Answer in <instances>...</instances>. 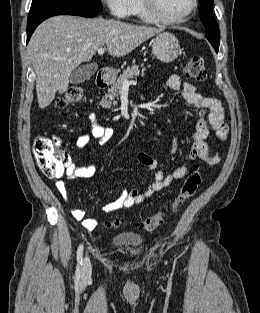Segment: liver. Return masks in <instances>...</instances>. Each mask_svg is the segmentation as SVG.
Returning <instances> with one entry per match:
<instances>
[{
	"mask_svg": "<svg viewBox=\"0 0 260 313\" xmlns=\"http://www.w3.org/2000/svg\"><path fill=\"white\" fill-rule=\"evenodd\" d=\"M163 30L102 17L55 16L45 20L28 44L39 107L50 105L57 92H66L71 73L89 62L99 48L106 45L111 56L122 57Z\"/></svg>",
	"mask_w": 260,
	"mask_h": 313,
	"instance_id": "liver-1",
	"label": "liver"
}]
</instances>
